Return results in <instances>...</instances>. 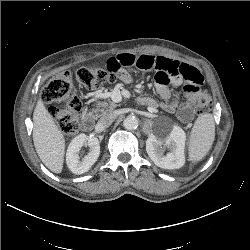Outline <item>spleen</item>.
<instances>
[{"mask_svg": "<svg viewBox=\"0 0 250 250\" xmlns=\"http://www.w3.org/2000/svg\"><path fill=\"white\" fill-rule=\"evenodd\" d=\"M215 139V122L212 114L199 115L189 138L188 159L191 162L202 160L212 147Z\"/></svg>", "mask_w": 250, "mask_h": 250, "instance_id": "3e777b00", "label": "spleen"}]
</instances>
